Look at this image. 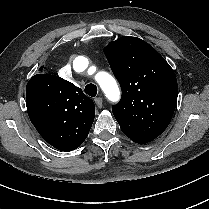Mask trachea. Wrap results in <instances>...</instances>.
Wrapping results in <instances>:
<instances>
[{"instance_id":"obj_1","label":"trachea","mask_w":209,"mask_h":209,"mask_svg":"<svg viewBox=\"0 0 209 209\" xmlns=\"http://www.w3.org/2000/svg\"><path fill=\"white\" fill-rule=\"evenodd\" d=\"M97 91H98V89L95 84L90 83V84L86 85V87H85V93L91 97H95L97 95Z\"/></svg>"}]
</instances>
